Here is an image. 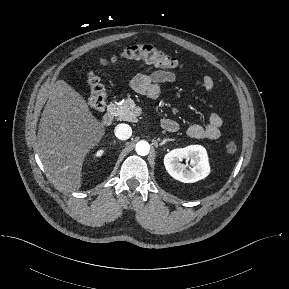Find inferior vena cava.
<instances>
[{
  "mask_svg": "<svg viewBox=\"0 0 289 289\" xmlns=\"http://www.w3.org/2000/svg\"><path fill=\"white\" fill-rule=\"evenodd\" d=\"M115 135L120 140H127L132 135V129L128 124H118L115 127Z\"/></svg>",
  "mask_w": 289,
  "mask_h": 289,
  "instance_id": "1",
  "label": "inferior vena cava"
}]
</instances>
